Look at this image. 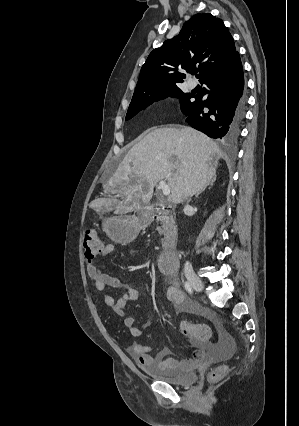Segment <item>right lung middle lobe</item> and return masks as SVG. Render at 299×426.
Returning <instances> with one entry per match:
<instances>
[{"label": "right lung middle lobe", "instance_id": "1", "mask_svg": "<svg viewBox=\"0 0 299 426\" xmlns=\"http://www.w3.org/2000/svg\"><path fill=\"white\" fill-rule=\"evenodd\" d=\"M170 96L179 99L181 110H183L191 102L193 97V95L189 93H183L178 86L147 95L144 98L131 101L125 120L131 119L138 112L147 108L152 103Z\"/></svg>", "mask_w": 299, "mask_h": 426}]
</instances>
